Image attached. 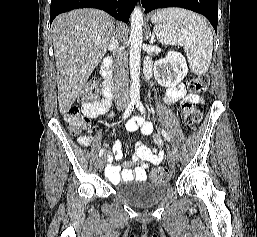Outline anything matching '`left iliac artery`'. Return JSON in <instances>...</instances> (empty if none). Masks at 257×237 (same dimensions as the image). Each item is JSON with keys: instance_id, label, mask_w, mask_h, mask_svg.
I'll return each mask as SVG.
<instances>
[{"instance_id": "obj_1", "label": "left iliac artery", "mask_w": 257, "mask_h": 237, "mask_svg": "<svg viewBox=\"0 0 257 237\" xmlns=\"http://www.w3.org/2000/svg\"><path fill=\"white\" fill-rule=\"evenodd\" d=\"M136 107L137 109L143 113V114H146V111H145V108L143 107L141 101H137L136 102ZM161 133L163 135V137L165 138V140H167L168 142H170V136L168 135V133L165 131V130H161Z\"/></svg>"}]
</instances>
